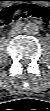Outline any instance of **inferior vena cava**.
Listing matches in <instances>:
<instances>
[{
  "mask_svg": "<svg viewBox=\"0 0 50 111\" xmlns=\"http://www.w3.org/2000/svg\"><path fill=\"white\" fill-rule=\"evenodd\" d=\"M23 32L22 28L21 27H13L10 32H9V35L10 36H16V35H19Z\"/></svg>",
  "mask_w": 50,
  "mask_h": 111,
  "instance_id": "1",
  "label": "inferior vena cava"
}]
</instances>
